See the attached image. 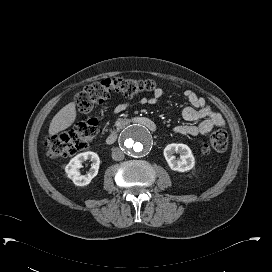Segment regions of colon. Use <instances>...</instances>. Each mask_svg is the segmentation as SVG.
Returning a JSON list of instances; mask_svg holds the SVG:
<instances>
[{
	"instance_id": "1",
	"label": "colon",
	"mask_w": 272,
	"mask_h": 272,
	"mask_svg": "<svg viewBox=\"0 0 272 272\" xmlns=\"http://www.w3.org/2000/svg\"><path fill=\"white\" fill-rule=\"evenodd\" d=\"M156 90V83L148 79L107 78L98 83L86 86L75 97L76 105L82 114L89 115L94 107L107 100L112 93L120 92L126 96L148 94ZM98 131V122L87 117L75 123L65 133L51 136L47 142L48 154L51 157H67L81 151L93 140ZM229 144L228 134L224 130L213 132L204 144V153L214 151L224 153Z\"/></svg>"
}]
</instances>
